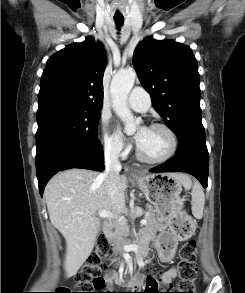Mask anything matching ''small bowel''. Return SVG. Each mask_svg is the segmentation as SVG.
Returning a JSON list of instances; mask_svg holds the SVG:
<instances>
[{
  "label": "small bowel",
  "instance_id": "c3829d8e",
  "mask_svg": "<svg viewBox=\"0 0 245 293\" xmlns=\"http://www.w3.org/2000/svg\"><path fill=\"white\" fill-rule=\"evenodd\" d=\"M153 237V234L149 230H144L141 234V240L143 243H146ZM183 238H177L175 235H173L170 231H164L162 233H159L156 235V249L160 256V258L164 261L171 260L173 256L175 255L178 241L182 240ZM178 275V269L176 267L170 268L168 271H166L162 278H161V284L163 289H167L170 287L173 279H175ZM107 280L110 283H115L121 287H124L126 285L125 281L116 273V272H110L107 275ZM135 284H138L139 281L135 280ZM148 282L146 281V285Z\"/></svg>",
  "mask_w": 245,
  "mask_h": 293
}]
</instances>
